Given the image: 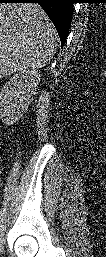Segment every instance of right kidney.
I'll return each instance as SVG.
<instances>
[{"mask_svg": "<svg viewBox=\"0 0 106 257\" xmlns=\"http://www.w3.org/2000/svg\"><path fill=\"white\" fill-rule=\"evenodd\" d=\"M39 81L40 73L38 68H24L20 69L16 75L2 86L0 107L4 121L13 123L18 119V115L28 107Z\"/></svg>", "mask_w": 106, "mask_h": 257, "instance_id": "1", "label": "right kidney"}]
</instances>
